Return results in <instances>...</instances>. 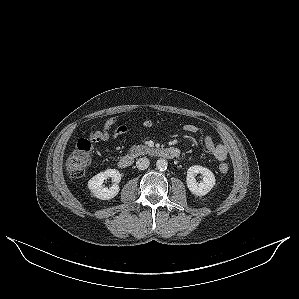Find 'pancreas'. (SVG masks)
Returning <instances> with one entry per match:
<instances>
[{"instance_id":"1","label":"pancreas","mask_w":299,"mask_h":299,"mask_svg":"<svg viewBox=\"0 0 299 299\" xmlns=\"http://www.w3.org/2000/svg\"><path fill=\"white\" fill-rule=\"evenodd\" d=\"M151 151H152V149L145 145H133L130 148L131 154L135 157L140 156V155L149 154Z\"/></svg>"}]
</instances>
